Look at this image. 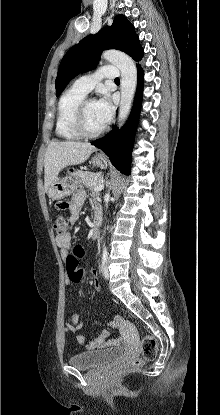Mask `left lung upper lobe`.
<instances>
[{"mask_svg": "<svg viewBox=\"0 0 220 415\" xmlns=\"http://www.w3.org/2000/svg\"><path fill=\"white\" fill-rule=\"evenodd\" d=\"M111 48L125 52L135 61L141 60L143 56L134 26L124 15H117L111 26L104 27L95 35L85 37L65 54L56 78V95L58 96L79 73L94 69L102 51Z\"/></svg>", "mask_w": 220, "mask_h": 415, "instance_id": "left-lung-upper-lobe-1", "label": "left lung upper lobe"}]
</instances>
